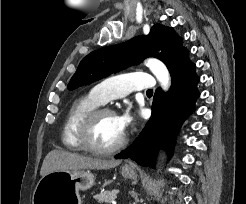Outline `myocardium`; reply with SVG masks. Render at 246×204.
Here are the masks:
<instances>
[{"instance_id":"f54148a6","label":"myocardium","mask_w":246,"mask_h":204,"mask_svg":"<svg viewBox=\"0 0 246 204\" xmlns=\"http://www.w3.org/2000/svg\"><path fill=\"white\" fill-rule=\"evenodd\" d=\"M108 114L115 115V112L108 107H98L92 110L91 112H89L83 118L77 133L78 140L83 149L95 154L107 155L122 149L126 145L128 141V137L125 133L116 144L109 147H99L92 142L91 132L96 121L103 115H108Z\"/></svg>"}]
</instances>
